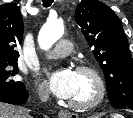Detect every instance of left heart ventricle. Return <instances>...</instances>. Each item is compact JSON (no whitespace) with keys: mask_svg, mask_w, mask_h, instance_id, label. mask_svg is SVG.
Instances as JSON below:
<instances>
[{"mask_svg":"<svg viewBox=\"0 0 133 118\" xmlns=\"http://www.w3.org/2000/svg\"><path fill=\"white\" fill-rule=\"evenodd\" d=\"M78 83L73 101L86 102L90 100L95 93V86L93 80L86 74L77 73Z\"/></svg>","mask_w":133,"mask_h":118,"instance_id":"b2bd125f","label":"left heart ventricle"}]
</instances>
